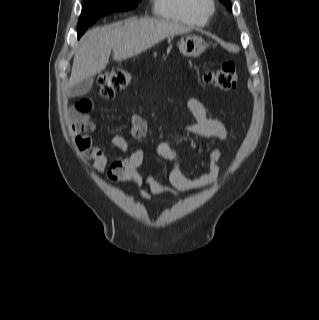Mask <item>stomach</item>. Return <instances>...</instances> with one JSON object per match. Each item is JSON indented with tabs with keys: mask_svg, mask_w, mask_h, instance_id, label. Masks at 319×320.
<instances>
[{
	"mask_svg": "<svg viewBox=\"0 0 319 320\" xmlns=\"http://www.w3.org/2000/svg\"><path fill=\"white\" fill-rule=\"evenodd\" d=\"M178 46L182 55L198 57L206 50L207 43L202 37L187 35L180 40Z\"/></svg>",
	"mask_w": 319,
	"mask_h": 320,
	"instance_id": "stomach-1",
	"label": "stomach"
}]
</instances>
